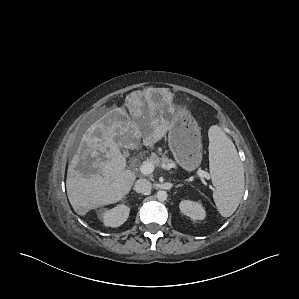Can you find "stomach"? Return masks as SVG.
I'll list each match as a JSON object with an SVG mask.
<instances>
[{"mask_svg":"<svg viewBox=\"0 0 299 299\" xmlns=\"http://www.w3.org/2000/svg\"><path fill=\"white\" fill-rule=\"evenodd\" d=\"M168 123V144L174 159L186 171H194L202 161L200 127L184 106L172 108Z\"/></svg>","mask_w":299,"mask_h":299,"instance_id":"stomach-1","label":"stomach"}]
</instances>
